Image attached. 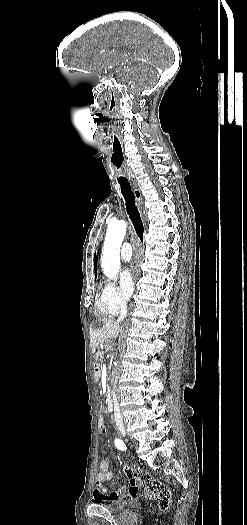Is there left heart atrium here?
Instances as JSON below:
<instances>
[{"label": "left heart atrium", "instance_id": "39dd6f15", "mask_svg": "<svg viewBox=\"0 0 247 525\" xmlns=\"http://www.w3.org/2000/svg\"><path fill=\"white\" fill-rule=\"evenodd\" d=\"M143 268L144 254L140 249H136L129 266L121 272L122 287L126 295H129L133 291L134 283L141 277Z\"/></svg>", "mask_w": 247, "mask_h": 525}]
</instances>
